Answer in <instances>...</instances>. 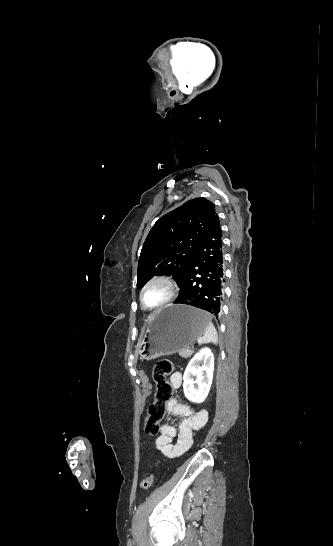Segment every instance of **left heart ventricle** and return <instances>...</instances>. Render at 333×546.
<instances>
[{
	"label": "left heart ventricle",
	"mask_w": 333,
	"mask_h": 546,
	"mask_svg": "<svg viewBox=\"0 0 333 546\" xmlns=\"http://www.w3.org/2000/svg\"><path fill=\"white\" fill-rule=\"evenodd\" d=\"M169 295V289L162 283H154L145 291L144 298L148 306H156L162 303Z\"/></svg>",
	"instance_id": "obj_1"
}]
</instances>
